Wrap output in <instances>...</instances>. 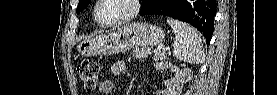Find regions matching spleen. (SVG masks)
<instances>
[{
	"label": "spleen",
	"instance_id": "1",
	"mask_svg": "<svg viewBox=\"0 0 277 95\" xmlns=\"http://www.w3.org/2000/svg\"><path fill=\"white\" fill-rule=\"evenodd\" d=\"M167 22L175 33L173 46L174 56L178 60L187 63H200L203 56V46L202 40L195 29L186 23L172 18H168Z\"/></svg>",
	"mask_w": 277,
	"mask_h": 95
}]
</instances>
